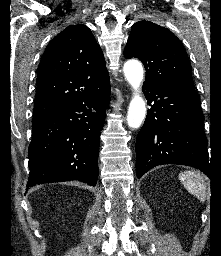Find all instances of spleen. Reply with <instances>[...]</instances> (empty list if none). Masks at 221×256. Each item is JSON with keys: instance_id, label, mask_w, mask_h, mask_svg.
Segmentation results:
<instances>
[{"instance_id": "obj_1", "label": "spleen", "mask_w": 221, "mask_h": 256, "mask_svg": "<svg viewBox=\"0 0 221 256\" xmlns=\"http://www.w3.org/2000/svg\"><path fill=\"white\" fill-rule=\"evenodd\" d=\"M180 181L188 192L196 196L201 202L206 199V185L203 177L193 171H186L179 175Z\"/></svg>"}]
</instances>
